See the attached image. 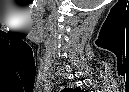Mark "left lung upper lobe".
I'll return each mask as SVG.
<instances>
[{
  "instance_id": "5c2ea615",
  "label": "left lung upper lobe",
  "mask_w": 129,
  "mask_h": 92,
  "mask_svg": "<svg viewBox=\"0 0 129 92\" xmlns=\"http://www.w3.org/2000/svg\"><path fill=\"white\" fill-rule=\"evenodd\" d=\"M67 90V92H81L82 90L80 88L76 89H64L63 91Z\"/></svg>"
}]
</instances>
